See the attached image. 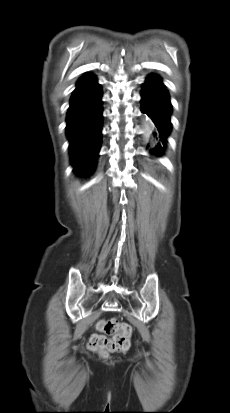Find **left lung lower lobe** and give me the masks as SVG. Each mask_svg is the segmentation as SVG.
<instances>
[{"label":"left lung lower lobe","instance_id":"left-lung-lower-lobe-1","mask_svg":"<svg viewBox=\"0 0 230 413\" xmlns=\"http://www.w3.org/2000/svg\"><path fill=\"white\" fill-rule=\"evenodd\" d=\"M141 111L147 114L155 123L159 142L149 152L154 156H161L166 148L167 136L171 131L170 116L172 105L165 85L159 76L151 74L147 77L141 91ZM156 137V139H158Z\"/></svg>","mask_w":230,"mask_h":413}]
</instances>
